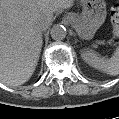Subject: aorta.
<instances>
[{
  "label": "aorta",
  "instance_id": "1",
  "mask_svg": "<svg viewBox=\"0 0 119 119\" xmlns=\"http://www.w3.org/2000/svg\"><path fill=\"white\" fill-rule=\"evenodd\" d=\"M50 34L53 40L61 41L66 37L67 31L63 25L56 24L51 28Z\"/></svg>",
  "mask_w": 119,
  "mask_h": 119
}]
</instances>
